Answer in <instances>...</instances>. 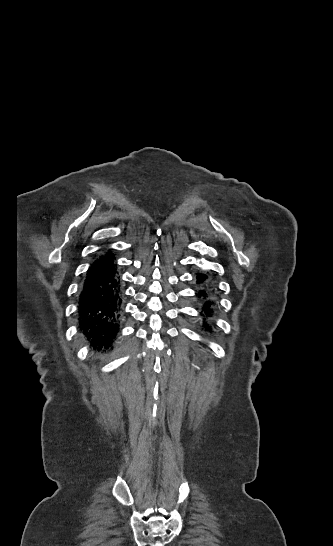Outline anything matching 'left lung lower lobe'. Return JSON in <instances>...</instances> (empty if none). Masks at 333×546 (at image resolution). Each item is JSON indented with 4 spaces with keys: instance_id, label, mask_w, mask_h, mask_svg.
Returning <instances> with one entry per match:
<instances>
[{
    "instance_id": "obj_1",
    "label": "left lung lower lobe",
    "mask_w": 333,
    "mask_h": 546,
    "mask_svg": "<svg viewBox=\"0 0 333 546\" xmlns=\"http://www.w3.org/2000/svg\"><path fill=\"white\" fill-rule=\"evenodd\" d=\"M197 284L199 289L197 290L196 295L203 303L202 312L207 317H211L213 313L212 306L215 305V302L212 300L213 298V291L212 288L207 283V275L202 273H197ZM204 328L208 331L210 330L209 325L205 322V319L203 321Z\"/></svg>"
}]
</instances>
